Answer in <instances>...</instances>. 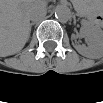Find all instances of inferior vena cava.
<instances>
[{"label":"inferior vena cava","instance_id":"1","mask_svg":"<svg viewBox=\"0 0 103 103\" xmlns=\"http://www.w3.org/2000/svg\"><path fill=\"white\" fill-rule=\"evenodd\" d=\"M46 15V12L43 8L33 10L29 13V18L32 21L41 20Z\"/></svg>","mask_w":103,"mask_h":103}]
</instances>
